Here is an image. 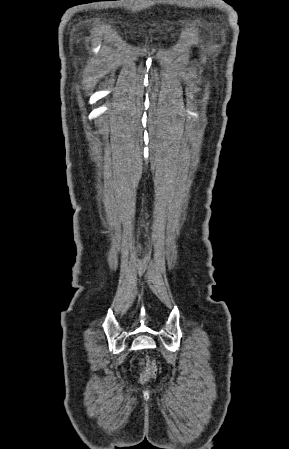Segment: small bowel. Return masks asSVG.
I'll use <instances>...</instances> for the list:
<instances>
[{"instance_id": "small-bowel-1", "label": "small bowel", "mask_w": 289, "mask_h": 449, "mask_svg": "<svg viewBox=\"0 0 289 449\" xmlns=\"http://www.w3.org/2000/svg\"><path fill=\"white\" fill-rule=\"evenodd\" d=\"M140 365H145V363H144V362H141Z\"/></svg>"}]
</instances>
